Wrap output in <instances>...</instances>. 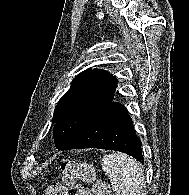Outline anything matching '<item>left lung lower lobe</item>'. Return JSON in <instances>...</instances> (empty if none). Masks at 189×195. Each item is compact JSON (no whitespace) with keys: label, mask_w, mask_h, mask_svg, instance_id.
Segmentation results:
<instances>
[{"label":"left lung lower lobe","mask_w":189,"mask_h":195,"mask_svg":"<svg viewBox=\"0 0 189 195\" xmlns=\"http://www.w3.org/2000/svg\"><path fill=\"white\" fill-rule=\"evenodd\" d=\"M112 101L113 98L56 148L58 150L81 148L116 150L144 163L141 141L136 136L127 109L124 105Z\"/></svg>","instance_id":"1"}]
</instances>
